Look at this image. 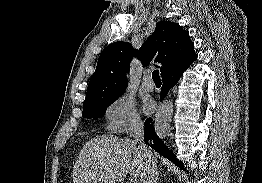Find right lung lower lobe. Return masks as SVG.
<instances>
[{"mask_svg": "<svg viewBox=\"0 0 262 183\" xmlns=\"http://www.w3.org/2000/svg\"><path fill=\"white\" fill-rule=\"evenodd\" d=\"M185 70L162 78L163 86L160 94V101L165 98V96L168 94V91L178 82ZM151 122L152 119L148 118L144 123V141L159 154L169 159L177 166L184 168L182 162L176 158L173 152L170 151L164 142L156 135L154 126L150 124Z\"/></svg>", "mask_w": 262, "mask_h": 183, "instance_id": "obj_1", "label": "right lung lower lobe"}]
</instances>
